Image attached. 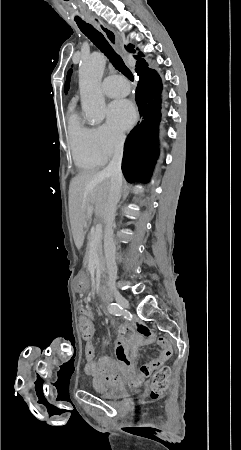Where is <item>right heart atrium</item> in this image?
<instances>
[{
	"label": "right heart atrium",
	"instance_id": "obj_1",
	"mask_svg": "<svg viewBox=\"0 0 241 450\" xmlns=\"http://www.w3.org/2000/svg\"><path fill=\"white\" fill-rule=\"evenodd\" d=\"M97 134L99 141L97 140ZM91 136L94 141L95 151L104 159H110L115 154L125 155L127 153V148L122 146L124 141L123 136L104 125L98 127V131L94 130Z\"/></svg>",
	"mask_w": 241,
	"mask_h": 450
}]
</instances>
